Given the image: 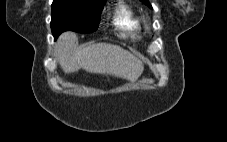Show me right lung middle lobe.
I'll list each match as a JSON object with an SVG mask.
<instances>
[{"label":"right lung middle lobe","mask_w":227,"mask_h":142,"mask_svg":"<svg viewBox=\"0 0 227 142\" xmlns=\"http://www.w3.org/2000/svg\"><path fill=\"white\" fill-rule=\"evenodd\" d=\"M104 4L88 0H54L51 6L53 36L56 38L67 30L79 33L96 31Z\"/></svg>","instance_id":"right-lung-middle-lobe-1"}]
</instances>
